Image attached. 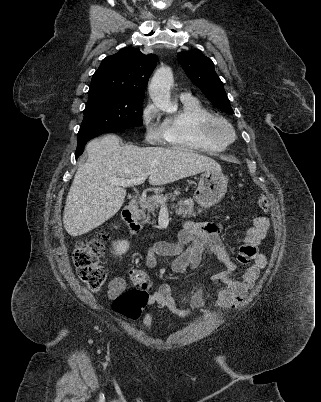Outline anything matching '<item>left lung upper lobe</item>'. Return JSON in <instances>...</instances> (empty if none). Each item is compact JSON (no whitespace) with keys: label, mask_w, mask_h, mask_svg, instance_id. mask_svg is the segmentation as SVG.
<instances>
[{"label":"left lung upper lobe","mask_w":321,"mask_h":402,"mask_svg":"<svg viewBox=\"0 0 321 402\" xmlns=\"http://www.w3.org/2000/svg\"><path fill=\"white\" fill-rule=\"evenodd\" d=\"M177 59L187 76L201 89L204 95L219 109L234 114L223 83L214 69L212 60L198 49L180 52Z\"/></svg>","instance_id":"obj_1"}]
</instances>
